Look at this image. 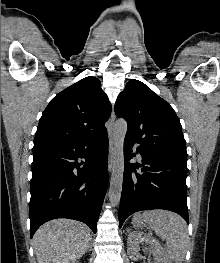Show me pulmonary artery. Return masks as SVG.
Returning <instances> with one entry per match:
<instances>
[{"label":"pulmonary artery","mask_w":220,"mask_h":263,"mask_svg":"<svg viewBox=\"0 0 220 263\" xmlns=\"http://www.w3.org/2000/svg\"><path fill=\"white\" fill-rule=\"evenodd\" d=\"M138 156H139V158H141V155H140V154H138Z\"/></svg>","instance_id":"pulmonary-artery-1"}]
</instances>
